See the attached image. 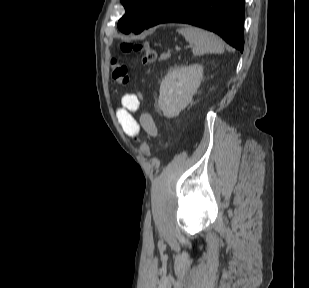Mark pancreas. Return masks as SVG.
I'll return each instance as SVG.
<instances>
[{"label":"pancreas","instance_id":"1","mask_svg":"<svg viewBox=\"0 0 309 288\" xmlns=\"http://www.w3.org/2000/svg\"><path fill=\"white\" fill-rule=\"evenodd\" d=\"M169 57H170V54H165V53H163V54H161L160 59H161V60H166V59H168Z\"/></svg>","mask_w":309,"mask_h":288}]
</instances>
